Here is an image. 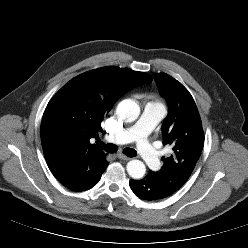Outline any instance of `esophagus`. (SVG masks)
Instances as JSON below:
<instances>
[{
	"mask_svg": "<svg viewBox=\"0 0 248 248\" xmlns=\"http://www.w3.org/2000/svg\"><path fill=\"white\" fill-rule=\"evenodd\" d=\"M117 157H118L119 159L125 160V161H128V160L131 159L130 157H128V156H126V155H124V154H122V153H118V154H117Z\"/></svg>",
	"mask_w": 248,
	"mask_h": 248,
	"instance_id": "obj_1",
	"label": "esophagus"
}]
</instances>
